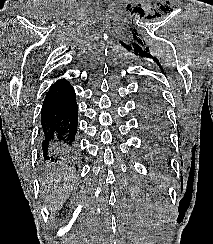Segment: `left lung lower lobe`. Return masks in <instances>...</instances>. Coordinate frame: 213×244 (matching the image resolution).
Here are the masks:
<instances>
[{"mask_svg": "<svg viewBox=\"0 0 213 244\" xmlns=\"http://www.w3.org/2000/svg\"><path fill=\"white\" fill-rule=\"evenodd\" d=\"M144 127V133L147 137V140H149V151L152 153H156V144L160 143L159 140L161 139V136L157 134L153 128H151L146 122H143Z\"/></svg>", "mask_w": 213, "mask_h": 244, "instance_id": "obj_1", "label": "left lung lower lobe"}]
</instances>
